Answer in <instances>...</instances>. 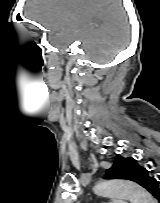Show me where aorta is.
I'll return each instance as SVG.
<instances>
[{
    "label": "aorta",
    "mask_w": 160,
    "mask_h": 203,
    "mask_svg": "<svg viewBox=\"0 0 160 203\" xmlns=\"http://www.w3.org/2000/svg\"><path fill=\"white\" fill-rule=\"evenodd\" d=\"M94 191L101 196L123 197L131 203H156L149 192L131 181H101L95 186Z\"/></svg>",
    "instance_id": "762f6f07"
}]
</instances>
